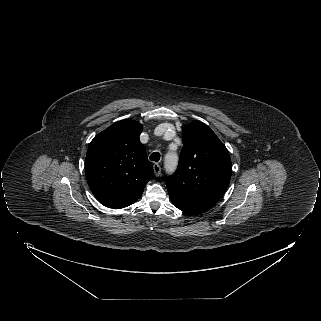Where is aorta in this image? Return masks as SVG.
I'll list each match as a JSON object with an SVG mask.
<instances>
[{
  "label": "aorta",
  "instance_id": "aorta-1",
  "mask_svg": "<svg viewBox=\"0 0 321 321\" xmlns=\"http://www.w3.org/2000/svg\"><path fill=\"white\" fill-rule=\"evenodd\" d=\"M178 163V156L175 153H167L165 156V169L167 172H174Z\"/></svg>",
  "mask_w": 321,
  "mask_h": 321
}]
</instances>
